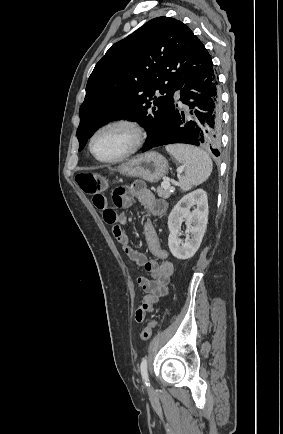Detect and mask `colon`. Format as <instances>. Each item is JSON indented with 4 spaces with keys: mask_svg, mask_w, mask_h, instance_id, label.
Segmentation results:
<instances>
[{
    "mask_svg": "<svg viewBox=\"0 0 283 434\" xmlns=\"http://www.w3.org/2000/svg\"><path fill=\"white\" fill-rule=\"evenodd\" d=\"M76 181L80 188L88 195H96L103 190L104 180L101 175L94 172H82L76 176ZM156 325L155 321H150L141 331L140 338L142 340H148Z\"/></svg>",
    "mask_w": 283,
    "mask_h": 434,
    "instance_id": "colon-1",
    "label": "colon"
}]
</instances>
